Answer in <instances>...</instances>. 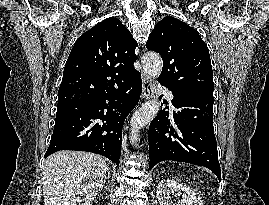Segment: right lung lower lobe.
Wrapping results in <instances>:
<instances>
[{
  "instance_id": "obj_1",
  "label": "right lung lower lobe",
  "mask_w": 269,
  "mask_h": 205,
  "mask_svg": "<svg viewBox=\"0 0 269 205\" xmlns=\"http://www.w3.org/2000/svg\"><path fill=\"white\" fill-rule=\"evenodd\" d=\"M141 90V75L135 71L114 91L58 105L45 158L59 150H78L103 155L119 165L124 120Z\"/></svg>"
}]
</instances>
